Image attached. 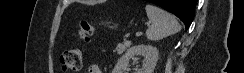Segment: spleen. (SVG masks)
Instances as JSON below:
<instances>
[{"label": "spleen", "mask_w": 244, "mask_h": 73, "mask_svg": "<svg viewBox=\"0 0 244 73\" xmlns=\"http://www.w3.org/2000/svg\"><path fill=\"white\" fill-rule=\"evenodd\" d=\"M145 10L151 21V26L146 31L148 40L158 41L181 30L176 18L167 11L152 4H147Z\"/></svg>", "instance_id": "3e777b00"}]
</instances>
